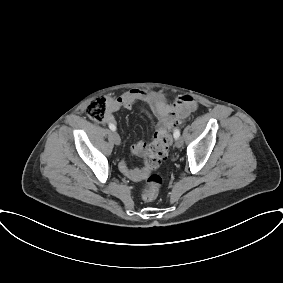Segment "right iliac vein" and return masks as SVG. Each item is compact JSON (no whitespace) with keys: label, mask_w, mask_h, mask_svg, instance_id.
I'll use <instances>...</instances> for the list:
<instances>
[{"label":"right iliac vein","mask_w":283,"mask_h":283,"mask_svg":"<svg viewBox=\"0 0 283 283\" xmlns=\"http://www.w3.org/2000/svg\"><path fill=\"white\" fill-rule=\"evenodd\" d=\"M112 139H113V142L115 143V145H120L121 139H120V136L117 132L112 133Z\"/></svg>","instance_id":"63e3f726"}]
</instances>
